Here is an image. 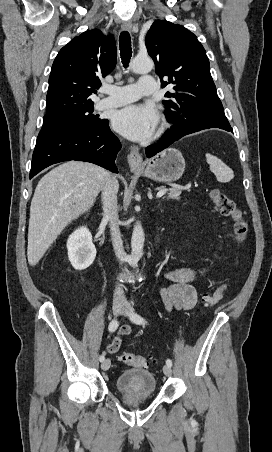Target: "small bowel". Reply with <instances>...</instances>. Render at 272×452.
I'll return each instance as SVG.
<instances>
[{"label":"small bowel","instance_id":"1","mask_svg":"<svg viewBox=\"0 0 272 452\" xmlns=\"http://www.w3.org/2000/svg\"><path fill=\"white\" fill-rule=\"evenodd\" d=\"M201 272L187 267H179L169 270L166 277L172 284L161 290V296L168 309L190 310L197 303V294L192 282ZM132 329L128 325L119 328L114 338L107 344L106 351L109 354L117 353L122 345V339L129 336Z\"/></svg>","mask_w":272,"mask_h":452}]
</instances>
